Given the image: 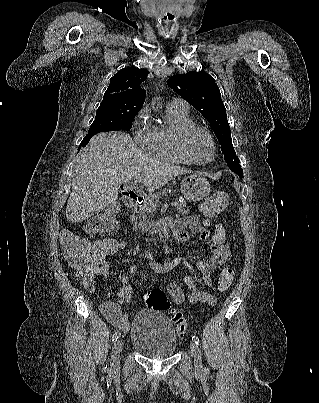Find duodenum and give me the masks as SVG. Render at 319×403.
<instances>
[{
	"label": "duodenum",
	"instance_id": "1",
	"mask_svg": "<svg viewBox=\"0 0 319 403\" xmlns=\"http://www.w3.org/2000/svg\"><path fill=\"white\" fill-rule=\"evenodd\" d=\"M123 202L128 208H137L141 205L142 199L135 191L129 190L123 194ZM171 229H174V221L172 219H162L150 227L149 235L153 236Z\"/></svg>",
	"mask_w": 319,
	"mask_h": 403
}]
</instances>
